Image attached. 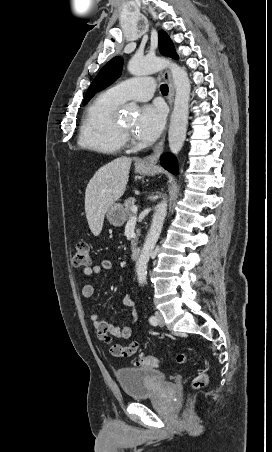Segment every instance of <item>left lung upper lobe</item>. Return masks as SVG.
Here are the masks:
<instances>
[{
    "label": "left lung upper lobe",
    "instance_id": "1",
    "mask_svg": "<svg viewBox=\"0 0 272 452\" xmlns=\"http://www.w3.org/2000/svg\"><path fill=\"white\" fill-rule=\"evenodd\" d=\"M159 50L161 54L177 59L178 56L174 50V46L169 36L164 31H159ZM123 65L122 57H114L111 59L95 77L83 100L86 104L96 92L108 87L121 75Z\"/></svg>",
    "mask_w": 272,
    "mask_h": 452
}]
</instances>
